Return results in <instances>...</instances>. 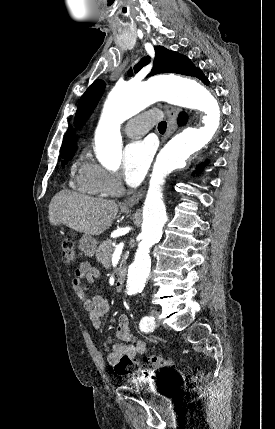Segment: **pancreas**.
Instances as JSON below:
<instances>
[{
  "label": "pancreas",
  "mask_w": 275,
  "mask_h": 429,
  "mask_svg": "<svg viewBox=\"0 0 275 429\" xmlns=\"http://www.w3.org/2000/svg\"><path fill=\"white\" fill-rule=\"evenodd\" d=\"M114 245L111 240H106L100 244L96 250V259L101 262L105 267L111 266V258L113 253ZM124 263V260L121 264Z\"/></svg>",
  "instance_id": "obj_1"
}]
</instances>
